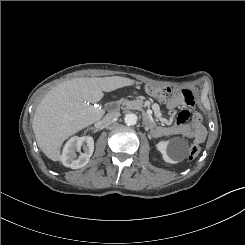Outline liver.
Wrapping results in <instances>:
<instances>
[{
    "instance_id": "obj_1",
    "label": "liver",
    "mask_w": 245,
    "mask_h": 245,
    "mask_svg": "<svg viewBox=\"0 0 245 245\" xmlns=\"http://www.w3.org/2000/svg\"><path fill=\"white\" fill-rule=\"evenodd\" d=\"M135 80L121 77L74 78L51 89L37 106L32 129L38 147L51 160L61 159L63 142L99 121L105 111L94 106L104 92L131 86Z\"/></svg>"
}]
</instances>
